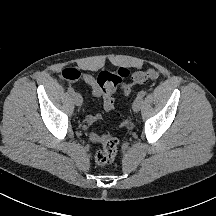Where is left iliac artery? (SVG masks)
<instances>
[{
  "instance_id": "1",
  "label": "left iliac artery",
  "mask_w": 216,
  "mask_h": 216,
  "mask_svg": "<svg viewBox=\"0 0 216 216\" xmlns=\"http://www.w3.org/2000/svg\"><path fill=\"white\" fill-rule=\"evenodd\" d=\"M145 95H146V91H140V92L137 94V99H142Z\"/></svg>"
}]
</instances>
